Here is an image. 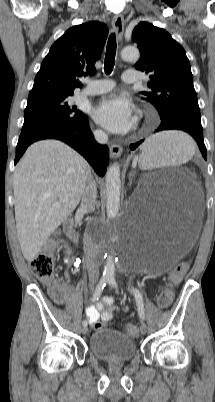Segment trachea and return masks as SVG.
<instances>
[{
	"instance_id": "1",
	"label": "trachea",
	"mask_w": 215,
	"mask_h": 402,
	"mask_svg": "<svg viewBox=\"0 0 215 402\" xmlns=\"http://www.w3.org/2000/svg\"><path fill=\"white\" fill-rule=\"evenodd\" d=\"M116 55V35L112 33L108 39L106 47V56L104 62V71L106 74H110L115 65Z\"/></svg>"
}]
</instances>
